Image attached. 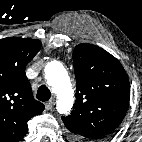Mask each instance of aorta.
I'll use <instances>...</instances> for the list:
<instances>
[{"label": "aorta", "mask_w": 142, "mask_h": 142, "mask_svg": "<svg viewBox=\"0 0 142 142\" xmlns=\"http://www.w3.org/2000/svg\"><path fill=\"white\" fill-rule=\"evenodd\" d=\"M45 74L48 85L57 95V111L68 113L73 106L74 94L65 67L58 61H51L45 68Z\"/></svg>", "instance_id": "1"}]
</instances>
